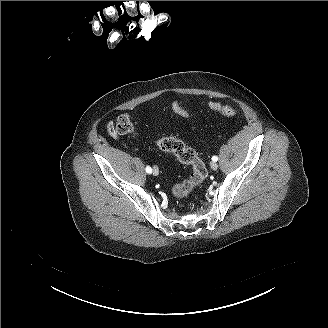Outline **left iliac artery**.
Instances as JSON below:
<instances>
[{"label": "left iliac artery", "instance_id": "44dca946", "mask_svg": "<svg viewBox=\"0 0 328 328\" xmlns=\"http://www.w3.org/2000/svg\"><path fill=\"white\" fill-rule=\"evenodd\" d=\"M212 160H213L214 162H216V161L218 160V157H217V156H213V157H212Z\"/></svg>", "mask_w": 328, "mask_h": 328}]
</instances>
